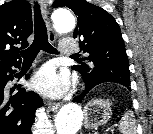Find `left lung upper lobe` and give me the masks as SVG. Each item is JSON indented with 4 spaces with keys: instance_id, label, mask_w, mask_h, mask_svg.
I'll return each instance as SVG.
<instances>
[{
    "instance_id": "left-lung-upper-lobe-1",
    "label": "left lung upper lobe",
    "mask_w": 153,
    "mask_h": 134,
    "mask_svg": "<svg viewBox=\"0 0 153 134\" xmlns=\"http://www.w3.org/2000/svg\"><path fill=\"white\" fill-rule=\"evenodd\" d=\"M53 7H68L76 15L78 26L73 37L81 38L80 48L89 53L88 64L72 68L79 71L88 84L115 82L130 86L128 57L120 28L104 9L86 0H55Z\"/></svg>"
}]
</instances>
